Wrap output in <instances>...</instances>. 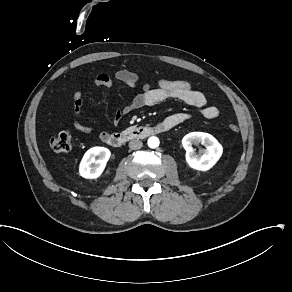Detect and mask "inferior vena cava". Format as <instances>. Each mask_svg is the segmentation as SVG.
Masks as SVG:
<instances>
[{"instance_id": "obj_1", "label": "inferior vena cava", "mask_w": 292, "mask_h": 292, "mask_svg": "<svg viewBox=\"0 0 292 292\" xmlns=\"http://www.w3.org/2000/svg\"><path fill=\"white\" fill-rule=\"evenodd\" d=\"M142 142L140 140H131L129 142V148L132 150H137L140 149L142 147Z\"/></svg>"}]
</instances>
